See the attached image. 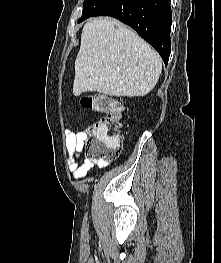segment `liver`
I'll list each match as a JSON object with an SVG mask.
<instances>
[{"mask_svg":"<svg viewBox=\"0 0 221 263\" xmlns=\"http://www.w3.org/2000/svg\"><path fill=\"white\" fill-rule=\"evenodd\" d=\"M161 71L159 55L134 31L115 19L96 18L82 30L73 93L140 97L155 87Z\"/></svg>","mask_w":221,"mask_h":263,"instance_id":"obj_1","label":"liver"}]
</instances>
